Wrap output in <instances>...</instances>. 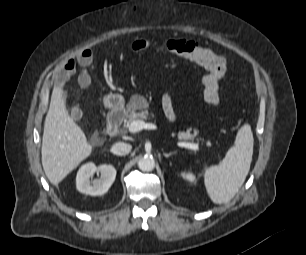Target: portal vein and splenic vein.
<instances>
[{
    "label": "portal vein and splenic vein",
    "mask_w": 306,
    "mask_h": 255,
    "mask_svg": "<svg viewBox=\"0 0 306 255\" xmlns=\"http://www.w3.org/2000/svg\"><path fill=\"white\" fill-rule=\"evenodd\" d=\"M128 131L130 133H136L143 129L148 130H155L157 127L155 124L152 123H145L143 120H135L132 121L130 124L127 125ZM178 147L191 149L193 151L199 150V145L196 143H190V142H177L176 143Z\"/></svg>",
    "instance_id": "obj_1"
}]
</instances>
